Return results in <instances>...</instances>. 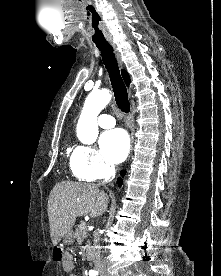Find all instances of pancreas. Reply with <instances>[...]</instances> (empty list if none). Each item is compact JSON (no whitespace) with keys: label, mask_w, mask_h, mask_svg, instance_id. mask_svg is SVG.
I'll use <instances>...</instances> for the list:
<instances>
[{"label":"pancreas","mask_w":221,"mask_h":276,"mask_svg":"<svg viewBox=\"0 0 221 276\" xmlns=\"http://www.w3.org/2000/svg\"><path fill=\"white\" fill-rule=\"evenodd\" d=\"M87 237V227L84 222L80 223L75 230V238L78 244L81 245L83 240Z\"/></svg>","instance_id":"1"}]
</instances>
